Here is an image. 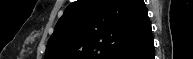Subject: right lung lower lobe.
Here are the masks:
<instances>
[{
	"label": "right lung lower lobe",
	"instance_id": "obj_1",
	"mask_svg": "<svg viewBox=\"0 0 193 59\" xmlns=\"http://www.w3.org/2000/svg\"><path fill=\"white\" fill-rule=\"evenodd\" d=\"M116 59H154V43L152 33L141 43L124 52Z\"/></svg>",
	"mask_w": 193,
	"mask_h": 59
}]
</instances>
